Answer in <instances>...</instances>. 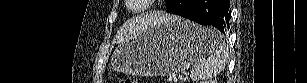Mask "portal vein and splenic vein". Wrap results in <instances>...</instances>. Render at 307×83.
I'll return each mask as SVG.
<instances>
[{"label": "portal vein and splenic vein", "instance_id": "portal-vein-and-splenic-vein-1", "mask_svg": "<svg viewBox=\"0 0 307 83\" xmlns=\"http://www.w3.org/2000/svg\"><path fill=\"white\" fill-rule=\"evenodd\" d=\"M184 77V75L183 74H179L178 75V78H174V80H177V79H182Z\"/></svg>", "mask_w": 307, "mask_h": 83}]
</instances>
